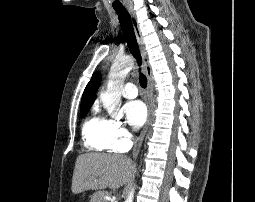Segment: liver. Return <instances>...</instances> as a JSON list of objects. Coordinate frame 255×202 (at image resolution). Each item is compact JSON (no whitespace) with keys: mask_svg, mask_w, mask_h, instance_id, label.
<instances>
[{"mask_svg":"<svg viewBox=\"0 0 255 202\" xmlns=\"http://www.w3.org/2000/svg\"><path fill=\"white\" fill-rule=\"evenodd\" d=\"M135 172V164L119 154L87 153L77 157L71 191L79 194L87 190L119 188L128 183Z\"/></svg>","mask_w":255,"mask_h":202,"instance_id":"1","label":"liver"}]
</instances>
